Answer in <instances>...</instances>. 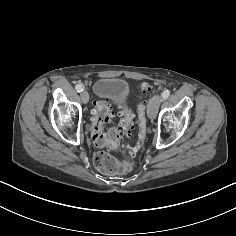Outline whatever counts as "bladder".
<instances>
[{
	"label": "bladder",
	"mask_w": 236,
	"mask_h": 236,
	"mask_svg": "<svg viewBox=\"0 0 236 236\" xmlns=\"http://www.w3.org/2000/svg\"><path fill=\"white\" fill-rule=\"evenodd\" d=\"M95 93L112 102H121L128 95V84L116 77H102L94 85Z\"/></svg>",
	"instance_id": "31cf9c89"
}]
</instances>
